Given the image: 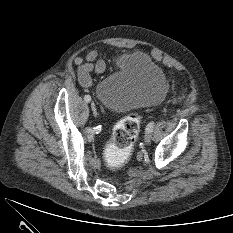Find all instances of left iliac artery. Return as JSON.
Returning a JSON list of instances; mask_svg holds the SVG:
<instances>
[{"label":"left iliac artery","mask_w":233,"mask_h":233,"mask_svg":"<svg viewBox=\"0 0 233 233\" xmlns=\"http://www.w3.org/2000/svg\"><path fill=\"white\" fill-rule=\"evenodd\" d=\"M154 121H152V122H150L148 125H147V127H146V130L147 131H153V128H154Z\"/></svg>","instance_id":"1"}]
</instances>
